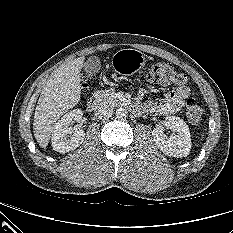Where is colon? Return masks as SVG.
I'll return each mask as SVG.
<instances>
[{"label":"colon","mask_w":233,"mask_h":233,"mask_svg":"<svg viewBox=\"0 0 233 233\" xmlns=\"http://www.w3.org/2000/svg\"><path fill=\"white\" fill-rule=\"evenodd\" d=\"M147 80L161 85L182 86L187 82V77L178 72L171 64L158 62L151 66L147 73ZM202 107L193 98L186 101L184 114L188 122L197 124L202 117Z\"/></svg>","instance_id":"colon-1"}]
</instances>
